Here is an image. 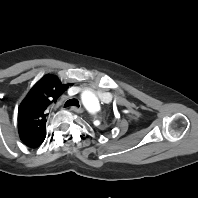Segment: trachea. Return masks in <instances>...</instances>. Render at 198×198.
<instances>
[{
  "mask_svg": "<svg viewBox=\"0 0 198 198\" xmlns=\"http://www.w3.org/2000/svg\"><path fill=\"white\" fill-rule=\"evenodd\" d=\"M70 106H77L79 107V102L77 99H70L65 103V107H70Z\"/></svg>",
  "mask_w": 198,
  "mask_h": 198,
  "instance_id": "obj_1",
  "label": "trachea"
}]
</instances>
